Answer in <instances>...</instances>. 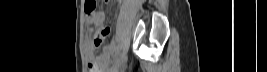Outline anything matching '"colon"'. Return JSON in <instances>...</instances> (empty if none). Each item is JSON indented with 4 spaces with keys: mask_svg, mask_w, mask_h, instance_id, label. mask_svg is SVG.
I'll use <instances>...</instances> for the list:
<instances>
[{
    "mask_svg": "<svg viewBox=\"0 0 267 72\" xmlns=\"http://www.w3.org/2000/svg\"><path fill=\"white\" fill-rule=\"evenodd\" d=\"M97 5H98V1L90 0L86 5V12L91 15L96 10ZM104 38H105L104 32L100 30H96L94 34L93 42L96 46H100L103 43ZM90 71L91 72L93 71L92 67Z\"/></svg>",
    "mask_w": 267,
    "mask_h": 72,
    "instance_id": "5ec220e1",
    "label": "colon"
}]
</instances>
